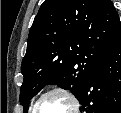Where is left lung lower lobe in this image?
Segmentation results:
<instances>
[{"mask_svg": "<svg viewBox=\"0 0 121 113\" xmlns=\"http://www.w3.org/2000/svg\"><path fill=\"white\" fill-rule=\"evenodd\" d=\"M78 99L83 113H121V25Z\"/></svg>", "mask_w": 121, "mask_h": 113, "instance_id": "obj_1", "label": "left lung lower lobe"}]
</instances>
